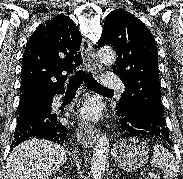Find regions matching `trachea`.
I'll return each mask as SVG.
<instances>
[{
    "label": "trachea",
    "mask_w": 183,
    "mask_h": 179,
    "mask_svg": "<svg viewBox=\"0 0 183 179\" xmlns=\"http://www.w3.org/2000/svg\"><path fill=\"white\" fill-rule=\"evenodd\" d=\"M85 83L86 86L95 91H113L100 85L91 74H87L85 71L80 70L74 76L69 79L67 85V91H76L82 83Z\"/></svg>",
    "instance_id": "obj_1"
}]
</instances>
